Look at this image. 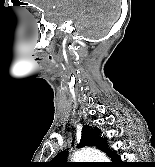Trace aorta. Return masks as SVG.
Returning <instances> with one entry per match:
<instances>
[{"label": "aorta", "mask_w": 155, "mask_h": 167, "mask_svg": "<svg viewBox=\"0 0 155 167\" xmlns=\"http://www.w3.org/2000/svg\"><path fill=\"white\" fill-rule=\"evenodd\" d=\"M73 162H106L107 157L96 149L84 148L73 153Z\"/></svg>", "instance_id": "aorta-1"}]
</instances>
